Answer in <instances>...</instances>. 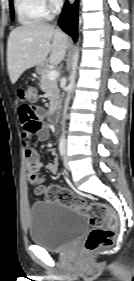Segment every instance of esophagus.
<instances>
[{
    "instance_id": "1",
    "label": "esophagus",
    "mask_w": 134,
    "mask_h": 281,
    "mask_svg": "<svg viewBox=\"0 0 134 281\" xmlns=\"http://www.w3.org/2000/svg\"><path fill=\"white\" fill-rule=\"evenodd\" d=\"M69 2H70L71 4H73V3H74V0H69Z\"/></svg>"
}]
</instances>
